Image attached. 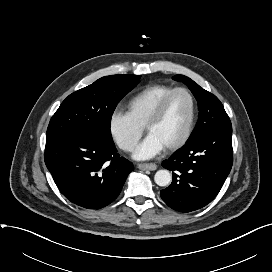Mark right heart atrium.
<instances>
[{"label":"right heart atrium","instance_id":"right-heart-atrium-1","mask_svg":"<svg viewBox=\"0 0 272 272\" xmlns=\"http://www.w3.org/2000/svg\"><path fill=\"white\" fill-rule=\"evenodd\" d=\"M108 130L116 145L123 151H132L139 141L143 127L139 126L127 112L114 110L108 120Z\"/></svg>","mask_w":272,"mask_h":272}]
</instances>
